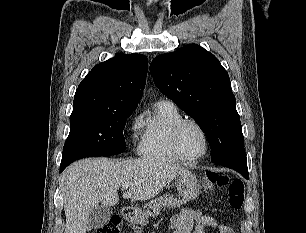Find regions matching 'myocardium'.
Masks as SVG:
<instances>
[{
  "instance_id": "1",
  "label": "myocardium",
  "mask_w": 306,
  "mask_h": 233,
  "mask_svg": "<svg viewBox=\"0 0 306 233\" xmlns=\"http://www.w3.org/2000/svg\"><path fill=\"white\" fill-rule=\"evenodd\" d=\"M194 125L202 134L203 138H204V151L201 155L194 157V158H189L187 156H185L179 146V138H180V133L182 131V129L186 126V125ZM171 146L173 149V152L175 153V155L182 161L184 162H197L200 161L202 159H204L210 149V142H209V136L207 134V131L205 130V128L196 120L194 119H182L180 120L173 128L172 133H171Z\"/></svg>"
}]
</instances>
